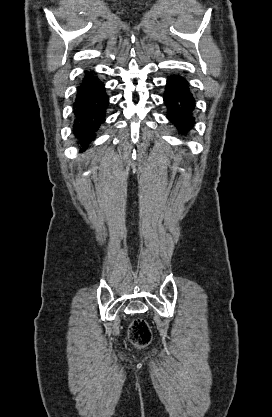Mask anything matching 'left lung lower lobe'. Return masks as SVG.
<instances>
[{
	"label": "left lung lower lobe",
	"mask_w": 272,
	"mask_h": 417,
	"mask_svg": "<svg viewBox=\"0 0 272 417\" xmlns=\"http://www.w3.org/2000/svg\"><path fill=\"white\" fill-rule=\"evenodd\" d=\"M164 102L168 107L167 118L182 133L192 129L195 118V100L186 79L180 75L169 76L164 94Z\"/></svg>",
	"instance_id": "obj_1"
}]
</instances>
